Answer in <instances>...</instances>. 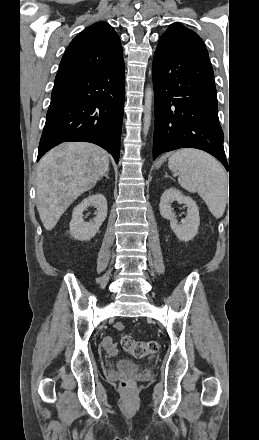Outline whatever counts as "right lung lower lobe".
I'll use <instances>...</instances> for the list:
<instances>
[{
	"instance_id": "98d812e1",
	"label": "right lung lower lobe",
	"mask_w": 259,
	"mask_h": 440,
	"mask_svg": "<svg viewBox=\"0 0 259 440\" xmlns=\"http://www.w3.org/2000/svg\"><path fill=\"white\" fill-rule=\"evenodd\" d=\"M124 60L105 68L55 79L37 161L66 141L97 144L118 163L124 111Z\"/></svg>"
}]
</instances>
